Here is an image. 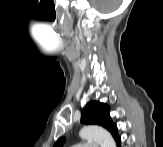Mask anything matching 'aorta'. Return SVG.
<instances>
[{
    "label": "aorta",
    "mask_w": 163,
    "mask_h": 147,
    "mask_svg": "<svg viewBox=\"0 0 163 147\" xmlns=\"http://www.w3.org/2000/svg\"><path fill=\"white\" fill-rule=\"evenodd\" d=\"M84 140H93L100 144L101 147H116V143L111 134L104 128L97 125L84 126L79 133Z\"/></svg>",
    "instance_id": "762f6f07"
}]
</instances>
